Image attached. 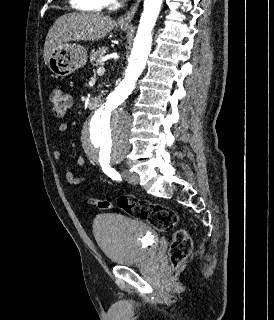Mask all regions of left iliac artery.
<instances>
[{"label": "left iliac artery", "mask_w": 274, "mask_h": 320, "mask_svg": "<svg viewBox=\"0 0 274 320\" xmlns=\"http://www.w3.org/2000/svg\"><path fill=\"white\" fill-rule=\"evenodd\" d=\"M102 170L106 175H108L110 178L116 181H121L120 174L109 165V162H100Z\"/></svg>", "instance_id": "obj_1"}]
</instances>
